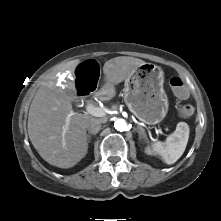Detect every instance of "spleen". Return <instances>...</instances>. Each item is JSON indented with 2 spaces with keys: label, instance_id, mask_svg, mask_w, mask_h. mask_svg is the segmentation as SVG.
I'll return each instance as SVG.
<instances>
[{
  "label": "spleen",
  "instance_id": "spleen-1",
  "mask_svg": "<svg viewBox=\"0 0 221 221\" xmlns=\"http://www.w3.org/2000/svg\"><path fill=\"white\" fill-rule=\"evenodd\" d=\"M188 139V124L185 122H179L176 130L167 137L165 142H154L152 147L167 164H174L183 155Z\"/></svg>",
  "mask_w": 221,
  "mask_h": 221
}]
</instances>
